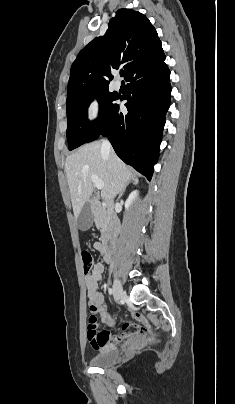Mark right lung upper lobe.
<instances>
[{"label":"right lung upper lobe","mask_w":235,"mask_h":404,"mask_svg":"<svg viewBox=\"0 0 235 404\" xmlns=\"http://www.w3.org/2000/svg\"><path fill=\"white\" fill-rule=\"evenodd\" d=\"M161 41L150 21L140 12L120 9L106 34L80 51L71 67L67 102L108 89L112 69L120 65L125 79L134 71L164 57Z\"/></svg>","instance_id":"obj_1"}]
</instances>
